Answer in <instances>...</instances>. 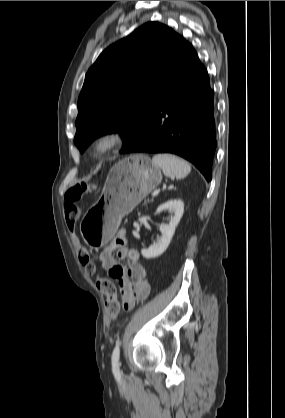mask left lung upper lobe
Returning <instances> with one entry per match:
<instances>
[{
  "label": "left lung upper lobe",
  "instance_id": "1",
  "mask_svg": "<svg viewBox=\"0 0 285 418\" xmlns=\"http://www.w3.org/2000/svg\"><path fill=\"white\" fill-rule=\"evenodd\" d=\"M184 41L168 26L148 22L100 54L78 98L74 143L81 152L108 133L122 135L123 153L138 140Z\"/></svg>",
  "mask_w": 285,
  "mask_h": 418
}]
</instances>
